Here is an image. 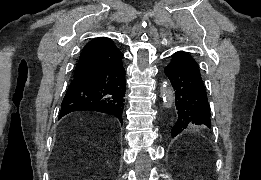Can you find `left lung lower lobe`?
<instances>
[{
    "label": "left lung lower lobe",
    "mask_w": 261,
    "mask_h": 180,
    "mask_svg": "<svg viewBox=\"0 0 261 180\" xmlns=\"http://www.w3.org/2000/svg\"><path fill=\"white\" fill-rule=\"evenodd\" d=\"M175 94L177 119L171 129L175 137L185 129L211 127L210 106L199 66L187 52H177L165 67Z\"/></svg>",
    "instance_id": "left-lung-lower-lobe-1"
}]
</instances>
